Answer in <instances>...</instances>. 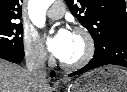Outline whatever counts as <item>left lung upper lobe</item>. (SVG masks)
Wrapping results in <instances>:
<instances>
[{"instance_id":"obj_1","label":"left lung upper lobe","mask_w":127,"mask_h":92,"mask_svg":"<svg viewBox=\"0 0 127 92\" xmlns=\"http://www.w3.org/2000/svg\"><path fill=\"white\" fill-rule=\"evenodd\" d=\"M71 13L87 28L95 49L110 39H127V13L124 0H65Z\"/></svg>"}]
</instances>
